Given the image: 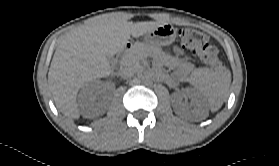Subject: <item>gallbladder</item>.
<instances>
[{"instance_id":"gallbladder-1","label":"gallbladder","mask_w":279,"mask_h":166,"mask_svg":"<svg viewBox=\"0 0 279 166\" xmlns=\"http://www.w3.org/2000/svg\"><path fill=\"white\" fill-rule=\"evenodd\" d=\"M107 59L109 62H112L114 60L113 56H107Z\"/></svg>"}]
</instances>
